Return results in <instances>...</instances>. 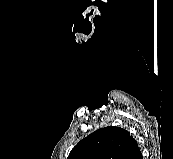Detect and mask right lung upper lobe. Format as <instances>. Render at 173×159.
<instances>
[{"label":"right lung upper lobe","instance_id":"1","mask_svg":"<svg viewBox=\"0 0 173 159\" xmlns=\"http://www.w3.org/2000/svg\"><path fill=\"white\" fill-rule=\"evenodd\" d=\"M67 159H143L135 139L116 126L101 128L82 139Z\"/></svg>","mask_w":173,"mask_h":159}]
</instances>
